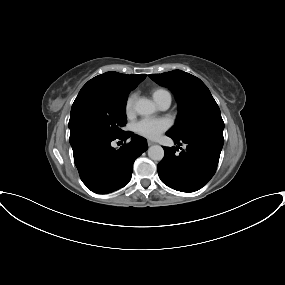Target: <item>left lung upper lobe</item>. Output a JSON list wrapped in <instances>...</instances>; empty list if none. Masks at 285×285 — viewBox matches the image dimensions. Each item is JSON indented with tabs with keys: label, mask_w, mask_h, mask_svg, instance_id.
Listing matches in <instances>:
<instances>
[{
	"label": "left lung upper lobe",
	"mask_w": 285,
	"mask_h": 285,
	"mask_svg": "<svg viewBox=\"0 0 285 285\" xmlns=\"http://www.w3.org/2000/svg\"><path fill=\"white\" fill-rule=\"evenodd\" d=\"M149 77L168 87L179 103L176 123L167 134L178 139L200 133L223 136L224 122L220 109L209 89L199 78L181 70L150 74Z\"/></svg>",
	"instance_id": "obj_1"
}]
</instances>
